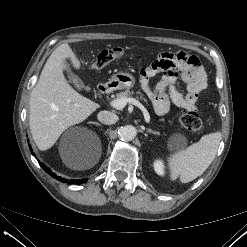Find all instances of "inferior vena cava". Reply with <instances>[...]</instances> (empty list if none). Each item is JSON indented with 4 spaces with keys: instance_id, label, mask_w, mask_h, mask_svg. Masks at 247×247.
<instances>
[{
    "instance_id": "602c4592",
    "label": "inferior vena cava",
    "mask_w": 247,
    "mask_h": 247,
    "mask_svg": "<svg viewBox=\"0 0 247 247\" xmlns=\"http://www.w3.org/2000/svg\"><path fill=\"white\" fill-rule=\"evenodd\" d=\"M98 120L106 125L114 124L118 121V116L110 111H100L97 115Z\"/></svg>"
}]
</instances>
